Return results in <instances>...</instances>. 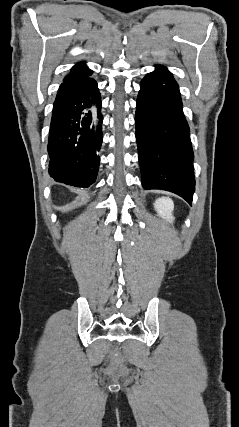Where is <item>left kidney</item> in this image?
I'll return each mask as SVG.
<instances>
[{
    "label": "left kidney",
    "instance_id": "1",
    "mask_svg": "<svg viewBox=\"0 0 239 427\" xmlns=\"http://www.w3.org/2000/svg\"><path fill=\"white\" fill-rule=\"evenodd\" d=\"M154 207L161 218L165 219L170 223L174 221V217L172 214L174 210V203L170 198H158L154 203Z\"/></svg>",
    "mask_w": 239,
    "mask_h": 427
}]
</instances>
